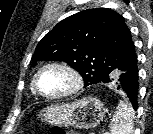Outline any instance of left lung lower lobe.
<instances>
[{"mask_svg":"<svg viewBox=\"0 0 153 134\" xmlns=\"http://www.w3.org/2000/svg\"><path fill=\"white\" fill-rule=\"evenodd\" d=\"M138 65L136 53L122 62L117 69L106 76L101 83H113L118 90L127 96L136 110L138 108Z\"/></svg>","mask_w":153,"mask_h":134,"instance_id":"left-lung-lower-lobe-1","label":"left lung lower lobe"}]
</instances>
